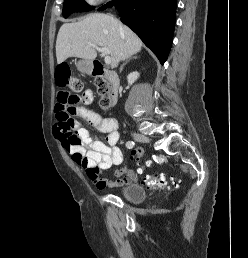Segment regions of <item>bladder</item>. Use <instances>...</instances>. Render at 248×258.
I'll list each match as a JSON object with an SVG mask.
<instances>
[{
  "mask_svg": "<svg viewBox=\"0 0 248 258\" xmlns=\"http://www.w3.org/2000/svg\"><path fill=\"white\" fill-rule=\"evenodd\" d=\"M121 195L131 203H140L147 198L146 190L139 184H129L125 186Z\"/></svg>",
  "mask_w": 248,
  "mask_h": 258,
  "instance_id": "1",
  "label": "bladder"
}]
</instances>
